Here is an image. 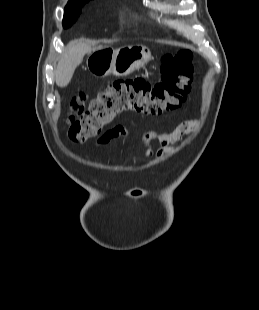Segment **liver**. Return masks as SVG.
I'll use <instances>...</instances> for the list:
<instances>
[{
    "instance_id": "6515ba94",
    "label": "liver",
    "mask_w": 259,
    "mask_h": 310,
    "mask_svg": "<svg viewBox=\"0 0 259 310\" xmlns=\"http://www.w3.org/2000/svg\"><path fill=\"white\" fill-rule=\"evenodd\" d=\"M94 49L84 40L70 42L55 69L56 85L66 87L70 83L75 69L81 64L84 55Z\"/></svg>"
}]
</instances>
